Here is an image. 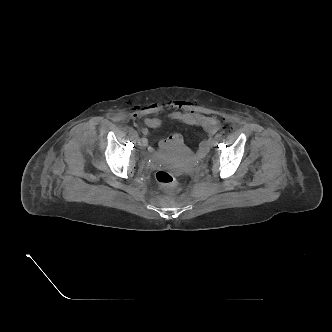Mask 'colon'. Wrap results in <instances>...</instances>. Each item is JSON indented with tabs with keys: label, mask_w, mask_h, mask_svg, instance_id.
I'll return each mask as SVG.
<instances>
[{
	"label": "colon",
	"mask_w": 332,
	"mask_h": 332,
	"mask_svg": "<svg viewBox=\"0 0 332 332\" xmlns=\"http://www.w3.org/2000/svg\"><path fill=\"white\" fill-rule=\"evenodd\" d=\"M156 181L167 191H174L178 186L176 177L166 170H159L155 175Z\"/></svg>",
	"instance_id": "5ec220e1"
}]
</instances>
